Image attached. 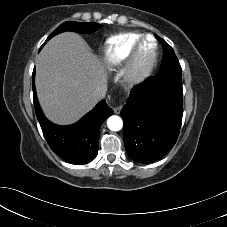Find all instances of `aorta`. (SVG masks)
<instances>
[{
	"mask_svg": "<svg viewBox=\"0 0 227 227\" xmlns=\"http://www.w3.org/2000/svg\"><path fill=\"white\" fill-rule=\"evenodd\" d=\"M107 127L111 131H119L123 127V121L121 117L117 115H112L107 119Z\"/></svg>",
	"mask_w": 227,
	"mask_h": 227,
	"instance_id": "762f6f07",
	"label": "aorta"
}]
</instances>
